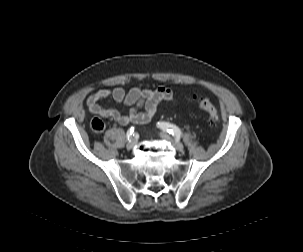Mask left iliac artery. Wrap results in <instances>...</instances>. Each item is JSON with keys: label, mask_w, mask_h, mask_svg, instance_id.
Masks as SVG:
<instances>
[{"label": "left iliac artery", "mask_w": 303, "mask_h": 252, "mask_svg": "<svg viewBox=\"0 0 303 252\" xmlns=\"http://www.w3.org/2000/svg\"><path fill=\"white\" fill-rule=\"evenodd\" d=\"M157 124L158 127L172 134L176 139L181 138L182 132L177 126L170 124L168 122H158Z\"/></svg>", "instance_id": "44dca946"}]
</instances>
